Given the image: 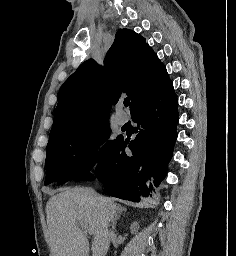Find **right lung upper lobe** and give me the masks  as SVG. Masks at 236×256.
Returning a JSON list of instances; mask_svg holds the SVG:
<instances>
[{
	"mask_svg": "<svg viewBox=\"0 0 236 256\" xmlns=\"http://www.w3.org/2000/svg\"><path fill=\"white\" fill-rule=\"evenodd\" d=\"M170 81L165 66L145 39L129 29L117 31L104 65L85 61L62 85L49 139L109 119L123 95L130 111Z\"/></svg>",
	"mask_w": 236,
	"mask_h": 256,
	"instance_id": "1",
	"label": "right lung upper lobe"
}]
</instances>
